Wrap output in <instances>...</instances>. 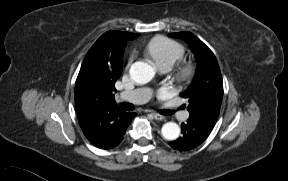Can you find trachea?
Listing matches in <instances>:
<instances>
[{"label":"trachea","mask_w":288,"mask_h":181,"mask_svg":"<svg viewBox=\"0 0 288 181\" xmlns=\"http://www.w3.org/2000/svg\"><path fill=\"white\" fill-rule=\"evenodd\" d=\"M120 106L125 110H134V105L130 103H121ZM175 111L173 110H160L159 113L163 115H172Z\"/></svg>","instance_id":"1"}]
</instances>
